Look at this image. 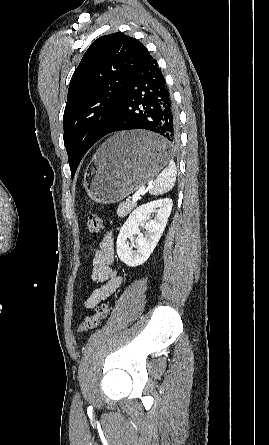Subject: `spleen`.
<instances>
[{"label": "spleen", "instance_id": "obj_1", "mask_svg": "<svg viewBox=\"0 0 269 445\" xmlns=\"http://www.w3.org/2000/svg\"><path fill=\"white\" fill-rule=\"evenodd\" d=\"M176 166L173 160H169L168 166L156 177L149 193L151 195H161L170 191L176 181Z\"/></svg>", "mask_w": 269, "mask_h": 445}]
</instances>
